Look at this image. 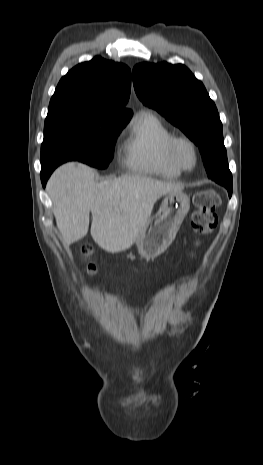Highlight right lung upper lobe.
<instances>
[{
  "label": "right lung upper lobe",
  "instance_id": "right-lung-upper-lobe-1",
  "mask_svg": "<svg viewBox=\"0 0 263 465\" xmlns=\"http://www.w3.org/2000/svg\"><path fill=\"white\" fill-rule=\"evenodd\" d=\"M130 89L131 71L126 65L95 57L61 78L49 108L84 107L132 116V111L125 108Z\"/></svg>",
  "mask_w": 263,
  "mask_h": 465
}]
</instances>
